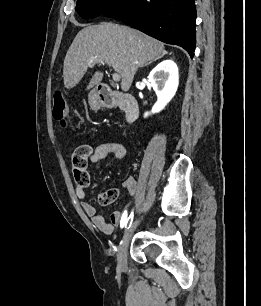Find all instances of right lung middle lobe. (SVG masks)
Listing matches in <instances>:
<instances>
[{
    "label": "right lung middle lobe",
    "instance_id": "1",
    "mask_svg": "<svg viewBox=\"0 0 261 306\" xmlns=\"http://www.w3.org/2000/svg\"><path fill=\"white\" fill-rule=\"evenodd\" d=\"M125 0H77L75 10L84 19H90L104 14Z\"/></svg>",
    "mask_w": 261,
    "mask_h": 306
}]
</instances>
